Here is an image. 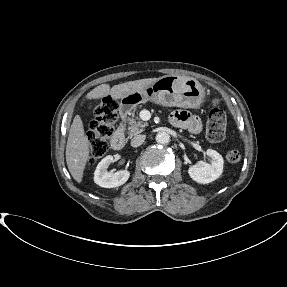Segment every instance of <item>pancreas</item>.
Returning a JSON list of instances; mask_svg holds the SVG:
<instances>
[{"mask_svg":"<svg viewBox=\"0 0 287 287\" xmlns=\"http://www.w3.org/2000/svg\"><path fill=\"white\" fill-rule=\"evenodd\" d=\"M126 126L128 138H131L132 136L143 132L145 130V127L148 126V123L140 120L138 116H135V114L132 113L131 117H128L123 124V127Z\"/></svg>","mask_w":287,"mask_h":287,"instance_id":"1","label":"pancreas"}]
</instances>
